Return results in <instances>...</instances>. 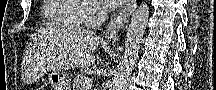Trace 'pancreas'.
<instances>
[{"label": "pancreas", "instance_id": "pancreas-1", "mask_svg": "<svg viewBox=\"0 0 216 90\" xmlns=\"http://www.w3.org/2000/svg\"><path fill=\"white\" fill-rule=\"evenodd\" d=\"M82 78H83V76H77V78H74L76 88H78V86H80V82H81Z\"/></svg>", "mask_w": 216, "mask_h": 90}]
</instances>
